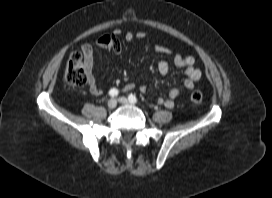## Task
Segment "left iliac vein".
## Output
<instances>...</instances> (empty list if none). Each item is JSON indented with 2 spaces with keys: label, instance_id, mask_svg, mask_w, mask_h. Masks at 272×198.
I'll return each instance as SVG.
<instances>
[{
  "label": "left iliac vein",
  "instance_id": "obj_1",
  "mask_svg": "<svg viewBox=\"0 0 272 198\" xmlns=\"http://www.w3.org/2000/svg\"><path fill=\"white\" fill-rule=\"evenodd\" d=\"M118 101L122 104L129 105L130 101L126 97H119Z\"/></svg>",
  "mask_w": 272,
  "mask_h": 198
}]
</instances>
